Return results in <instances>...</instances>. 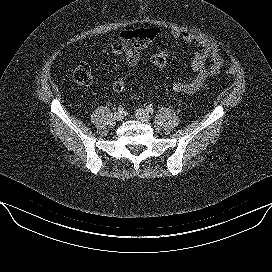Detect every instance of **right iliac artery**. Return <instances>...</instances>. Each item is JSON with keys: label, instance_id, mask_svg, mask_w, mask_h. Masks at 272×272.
Masks as SVG:
<instances>
[{"label": "right iliac artery", "instance_id": "right-iliac-artery-1", "mask_svg": "<svg viewBox=\"0 0 272 272\" xmlns=\"http://www.w3.org/2000/svg\"><path fill=\"white\" fill-rule=\"evenodd\" d=\"M123 110H124L123 107H121V106L118 107V111H119V112H123Z\"/></svg>", "mask_w": 272, "mask_h": 272}]
</instances>
